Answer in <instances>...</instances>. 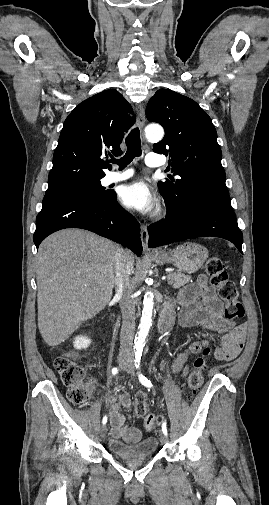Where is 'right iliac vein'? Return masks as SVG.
<instances>
[{
  "mask_svg": "<svg viewBox=\"0 0 269 505\" xmlns=\"http://www.w3.org/2000/svg\"><path fill=\"white\" fill-rule=\"evenodd\" d=\"M125 361H126V358H125V357H120V358H119L118 362H119V365H120L121 369H122V366L124 365ZM106 432H107V426H106V425H103V426L101 427V429H100V436H101V438H104V437H105Z\"/></svg>",
  "mask_w": 269,
  "mask_h": 505,
  "instance_id": "63e3f726",
  "label": "right iliac vein"
}]
</instances>
